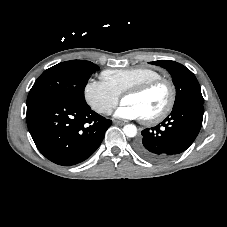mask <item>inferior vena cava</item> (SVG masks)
I'll use <instances>...</instances> for the list:
<instances>
[{"instance_id": "602c4592", "label": "inferior vena cava", "mask_w": 227, "mask_h": 227, "mask_svg": "<svg viewBox=\"0 0 227 227\" xmlns=\"http://www.w3.org/2000/svg\"><path fill=\"white\" fill-rule=\"evenodd\" d=\"M104 112L108 115H110L112 113V109L111 108H107L104 110Z\"/></svg>"}]
</instances>
